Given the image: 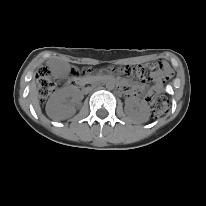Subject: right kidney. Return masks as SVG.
I'll use <instances>...</instances> for the list:
<instances>
[{"mask_svg": "<svg viewBox=\"0 0 206 206\" xmlns=\"http://www.w3.org/2000/svg\"><path fill=\"white\" fill-rule=\"evenodd\" d=\"M73 101L80 99L78 91H60L55 93L46 105V113L52 119H66L74 115L75 109L68 104V99Z\"/></svg>", "mask_w": 206, "mask_h": 206, "instance_id": "obj_1", "label": "right kidney"}]
</instances>
